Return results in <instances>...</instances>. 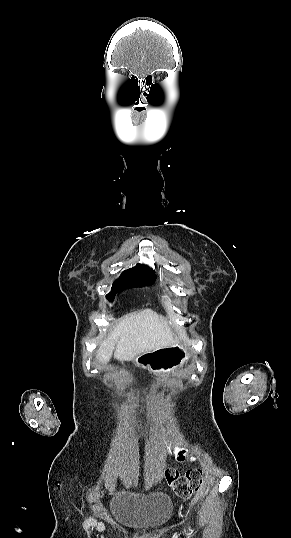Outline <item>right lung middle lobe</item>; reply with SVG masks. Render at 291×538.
I'll use <instances>...</instances> for the list:
<instances>
[{
  "mask_svg": "<svg viewBox=\"0 0 291 538\" xmlns=\"http://www.w3.org/2000/svg\"><path fill=\"white\" fill-rule=\"evenodd\" d=\"M155 278L156 275L154 271L147 266L137 264L136 267L125 270L120 278L113 283L111 293L107 295V299L113 301L115 293L120 290L151 284Z\"/></svg>",
  "mask_w": 291,
  "mask_h": 538,
  "instance_id": "1",
  "label": "right lung middle lobe"
}]
</instances>
